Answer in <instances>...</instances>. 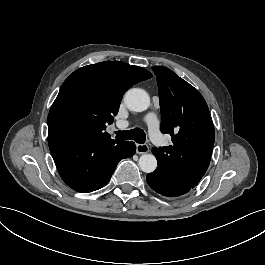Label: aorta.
<instances>
[{
  "instance_id": "aorta-1",
  "label": "aorta",
  "mask_w": 265,
  "mask_h": 265,
  "mask_svg": "<svg viewBox=\"0 0 265 265\" xmlns=\"http://www.w3.org/2000/svg\"><path fill=\"white\" fill-rule=\"evenodd\" d=\"M124 102L131 111H146L151 104L149 94L140 88H133L126 92ZM140 169L145 173L153 172L157 167V160L153 154H142L138 161Z\"/></svg>"
}]
</instances>
